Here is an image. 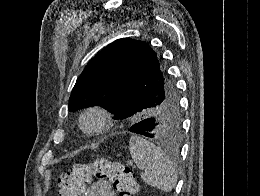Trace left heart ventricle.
<instances>
[{
    "label": "left heart ventricle",
    "mask_w": 260,
    "mask_h": 196,
    "mask_svg": "<svg viewBox=\"0 0 260 196\" xmlns=\"http://www.w3.org/2000/svg\"><path fill=\"white\" fill-rule=\"evenodd\" d=\"M99 123V119L96 115H90L88 116L84 121V126L88 129L95 128Z\"/></svg>",
    "instance_id": "b2bd125f"
}]
</instances>
